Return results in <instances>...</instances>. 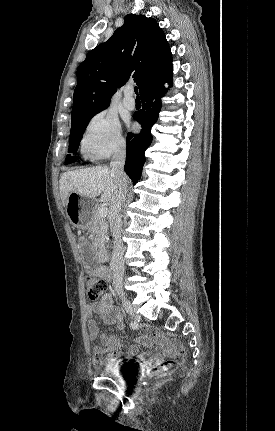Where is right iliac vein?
Wrapping results in <instances>:
<instances>
[{"instance_id":"obj_1","label":"right iliac vein","mask_w":275,"mask_h":431,"mask_svg":"<svg viewBox=\"0 0 275 431\" xmlns=\"http://www.w3.org/2000/svg\"><path fill=\"white\" fill-rule=\"evenodd\" d=\"M120 299L122 301V305H123L124 309L126 310V312H128L129 314H133L134 313V307H133L132 303L128 300V298L123 293L120 294Z\"/></svg>"}]
</instances>
